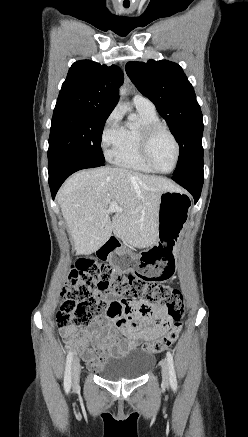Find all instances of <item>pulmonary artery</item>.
<instances>
[{"label": "pulmonary artery", "instance_id": "obj_1", "mask_svg": "<svg viewBox=\"0 0 248 437\" xmlns=\"http://www.w3.org/2000/svg\"><path fill=\"white\" fill-rule=\"evenodd\" d=\"M133 103L136 108H143L148 110H155V106L152 103L151 100H149L147 97L137 94L133 98Z\"/></svg>", "mask_w": 248, "mask_h": 437}]
</instances>
